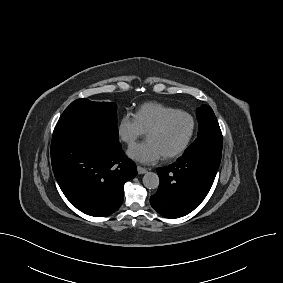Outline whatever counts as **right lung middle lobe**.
Returning <instances> with one entry per match:
<instances>
[{
  "label": "right lung middle lobe",
  "instance_id": "right-lung-middle-lobe-1",
  "mask_svg": "<svg viewBox=\"0 0 283 283\" xmlns=\"http://www.w3.org/2000/svg\"><path fill=\"white\" fill-rule=\"evenodd\" d=\"M80 130L103 140L118 142L117 107L113 102H91L85 98L73 101L60 116L54 132Z\"/></svg>",
  "mask_w": 283,
  "mask_h": 283
}]
</instances>
